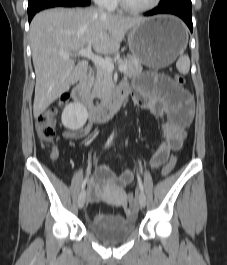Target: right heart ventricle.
<instances>
[{"label": "right heart ventricle", "instance_id": "obj_1", "mask_svg": "<svg viewBox=\"0 0 227 265\" xmlns=\"http://www.w3.org/2000/svg\"><path fill=\"white\" fill-rule=\"evenodd\" d=\"M116 5H117V0H114L112 8L115 7Z\"/></svg>", "mask_w": 227, "mask_h": 265}]
</instances>
